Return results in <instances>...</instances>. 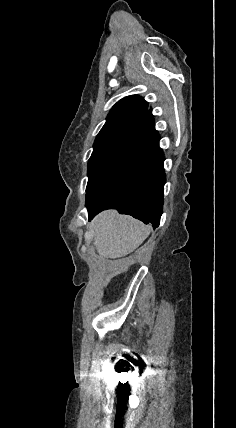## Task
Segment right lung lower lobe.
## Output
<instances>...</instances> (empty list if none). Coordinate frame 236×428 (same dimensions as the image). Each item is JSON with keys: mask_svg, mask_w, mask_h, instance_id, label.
Returning a JSON list of instances; mask_svg holds the SVG:
<instances>
[{"mask_svg": "<svg viewBox=\"0 0 236 428\" xmlns=\"http://www.w3.org/2000/svg\"><path fill=\"white\" fill-rule=\"evenodd\" d=\"M144 144L128 171L99 199L86 205L89 220L105 209H117L145 224L159 225L166 181L159 134H154Z\"/></svg>", "mask_w": 236, "mask_h": 428, "instance_id": "right-lung-lower-lobe-1", "label": "right lung lower lobe"}]
</instances>
